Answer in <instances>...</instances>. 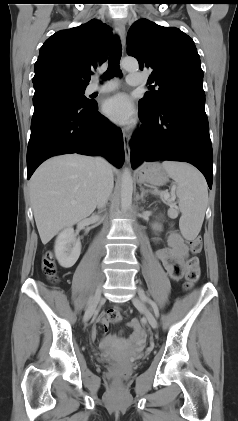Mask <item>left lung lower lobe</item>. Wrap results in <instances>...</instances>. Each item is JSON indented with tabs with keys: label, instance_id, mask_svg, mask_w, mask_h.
<instances>
[{
	"label": "left lung lower lobe",
	"instance_id": "obj_1",
	"mask_svg": "<svg viewBox=\"0 0 238 421\" xmlns=\"http://www.w3.org/2000/svg\"><path fill=\"white\" fill-rule=\"evenodd\" d=\"M205 92L191 89L174 94L155 111L139 108L141 126L130 141L131 164L144 161H185L213 179V152L205 113Z\"/></svg>",
	"mask_w": 238,
	"mask_h": 421
}]
</instances>
